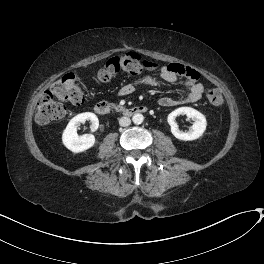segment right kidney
<instances>
[{
	"instance_id": "ca27d5eb",
	"label": "right kidney",
	"mask_w": 264,
	"mask_h": 264,
	"mask_svg": "<svg viewBox=\"0 0 264 264\" xmlns=\"http://www.w3.org/2000/svg\"><path fill=\"white\" fill-rule=\"evenodd\" d=\"M89 120L91 131H96L99 127V120L94 113L85 112L73 117L62 134V141L66 148L74 153L83 152L91 148L95 143L93 134L78 135L77 129L81 123Z\"/></svg>"
}]
</instances>
